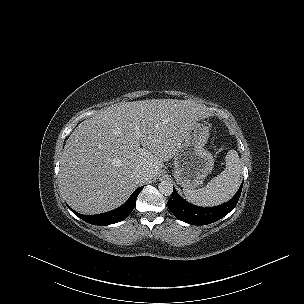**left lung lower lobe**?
Returning <instances> with one entry per match:
<instances>
[{
	"mask_svg": "<svg viewBox=\"0 0 304 304\" xmlns=\"http://www.w3.org/2000/svg\"><path fill=\"white\" fill-rule=\"evenodd\" d=\"M242 187L243 182L230 201L211 208L197 207L188 203L174 189L167 205L179 220L193 225H206L221 219L234 209L239 200Z\"/></svg>",
	"mask_w": 304,
	"mask_h": 304,
	"instance_id": "0a47b994",
	"label": "left lung lower lobe"
}]
</instances>
